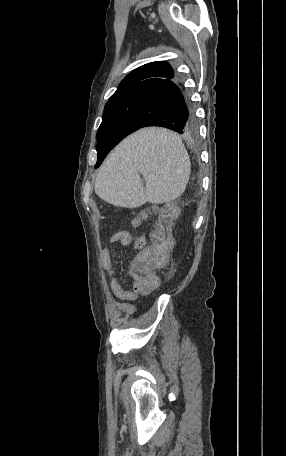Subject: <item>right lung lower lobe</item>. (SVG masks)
Returning a JSON list of instances; mask_svg holds the SVG:
<instances>
[{"mask_svg": "<svg viewBox=\"0 0 286 456\" xmlns=\"http://www.w3.org/2000/svg\"><path fill=\"white\" fill-rule=\"evenodd\" d=\"M123 98L128 105L132 132L145 126H162L183 135L195 131L191 102L180 85L171 80L152 83Z\"/></svg>", "mask_w": 286, "mask_h": 456, "instance_id": "1", "label": "right lung lower lobe"}]
</instances>
